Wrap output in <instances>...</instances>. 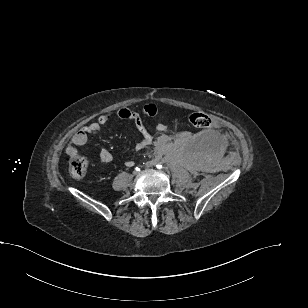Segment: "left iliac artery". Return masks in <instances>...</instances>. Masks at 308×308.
I'll list each match as a JSON object with an SVG mask.
<instances>
[{
    "instance_id": "obj_1",
    "label": "left iliac artery",
    "mask_w": 308,
    "mask_h": 308,
    "mask_svg": "<svg viewBox=\"0 0 308 308\" xmlns=\"http://www.w3.org/2000/svg\"><path fill=\"white\" fill-rule=\"evenodd\" d=\"M156 167L160 169V168H162V165H161L160 163H158V164L156 165Z\"/></svg>"
}]
</instances>
